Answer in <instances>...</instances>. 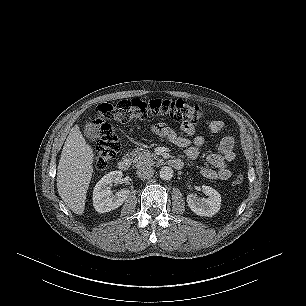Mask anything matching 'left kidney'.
I'll use <instances>...</instances> for the list:
<instances>
[{
	"instance_id": "obj_1",
	"label": "left kidney",
	"mask_w": 306,
	"mask_h": 306,
	"mask_svg": "<svg viewBox=\"0 0 306 306\" xmlns=\"http://www.w3.org/2000/svg\"><path fill=\"white\" fill-rule=\"evenodd\" d=\"M202 191L208 197L198 198L196 195L190 194L187 196L188 206L196 215L212 217L220 209L221 195L210 186L203 185Z\"/></svg>"
}]
</instances>
